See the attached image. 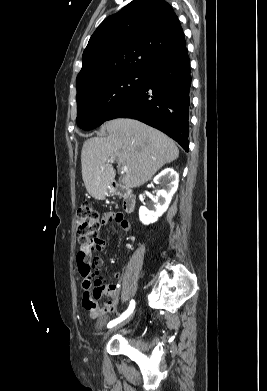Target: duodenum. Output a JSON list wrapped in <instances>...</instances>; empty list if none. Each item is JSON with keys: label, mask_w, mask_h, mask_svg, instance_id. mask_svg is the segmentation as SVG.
Here are the masks:
<instances>
[{"label": "duodenum", "mask_w": 267, "mask_h": 391, "mask_svg": "<svg viewBox=\"0 0 267 391\" xmlns=\"http://www.w3.org/2000/svg\"><path fill=\"white\" fill-rule=\"evenodd\" d=\"M112 194L123 198V209L127 213H131L135 209L136 197L132 191L117 181H112L110 185Z\"/></svg>", "instance_id": "obj_1"}]
</instances>
